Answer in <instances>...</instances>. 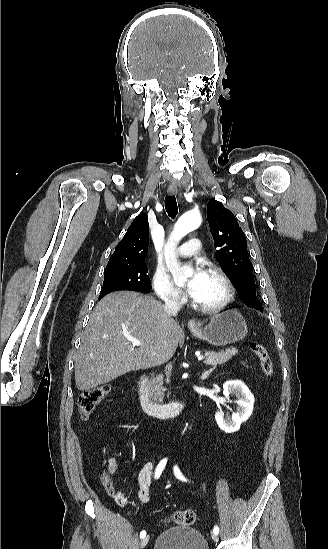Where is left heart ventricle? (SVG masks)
Listing matches in <instances>:
<instances>
[{
	"instance_id": "obj_1",
	"label": "left heart ventricle",
	"mask_w": 328,
	"mask_h": 549,
	"mask_svg": "<svg viewBox=\"0 0 328 549\" xmlns=\"http://www.w3.org/2000/svg\"><path fill=\"white\" fill-rule=\"evenodd\" d=\"M200 268L204 269V281L198 297L194 300L204 305H212L224 296L225 287L222 280L217 275L205 272L209 267L201 266Z\"/></svg>"
}]
</instances>
